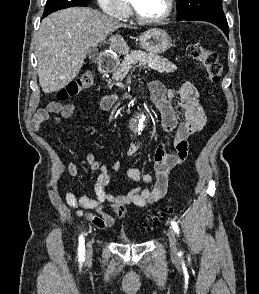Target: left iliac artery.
<instances>
[{
	"mask_svg": "<svg viewBox=\"0 0 259 294\" xmlns=\"http://www.w3.org/2000/svg\"><path fill=\"white\" fill-rule=\"evenodd\" d=\"M171 226L173 228V230L177 233V235H179V226L175 221H171Z\"/></svg>",
	"mask_w": 259,
	"mask_h": 294,
	"instance_id": "1",
	"label": "left iliac artery"
}]
</instances>
